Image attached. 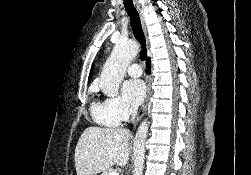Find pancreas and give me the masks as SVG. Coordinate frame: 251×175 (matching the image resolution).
Here are the masks:
<instances>
[{
    "label": "pancreas",
    "mask_w": 251,
    "mask_h": 175,
    "mask_svg": "<svg viewBox=\"0 0 251 175\" xmlns=\"http://www.w3.org/2000/svg\"><path fill=\"white\" fill-rule=\"evenodd\" d=\"M112 171V167H105V169H102L101 175H110Z\"/></svg>",
    "instance_id": "pancreas-1"
}]
</instances>
